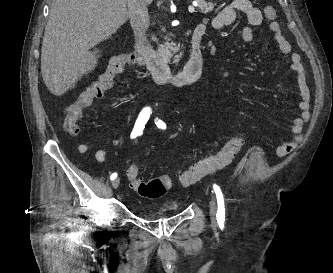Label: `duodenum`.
Segmentation results:
<instances>
[{"label": "duodenum", "mask_w": 333, "mask_h": 273, "mask_svg": "<svg viewBox=\"0 0 333 273\" xmlns=\"http://www.w3.org/2000/svg\"><path fill=\"white\" fill-rule=\"evenodd\" d=\"M203 34V28L197 25L191 38L188 61L179 72L171 71L166 60L152 49L145 34H138L136 36L135 46L143 63L157 82L175 87H183L197 81L202 75L201 42Z\"/></svg>", "instance_id": "1"}]
</instances>
